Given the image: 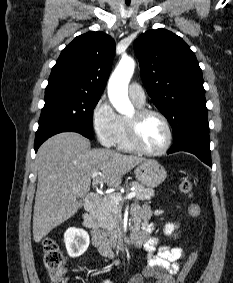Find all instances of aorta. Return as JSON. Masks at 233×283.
<instances>
[{
  "instance_id": "762f6f07",
  "label": "aorta",
  "mask_w": 233,
  "mask_h": 283,
  "mask_svg": "<svg viewBox=\"0 0 233 283\" xmlns=\"http://www.w3.org/2000/svg\"><path fill=\"white\" fill-rule=\"evenodd\" d=\"M135 61L131 57H123L108 82V97L120 114H130L133 105L128 97V84L134 73Z\"/></svg>"
}]
</instances>
